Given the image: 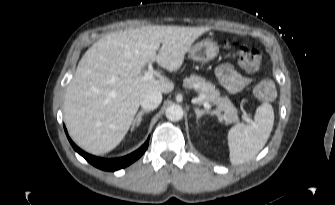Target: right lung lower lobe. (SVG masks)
Returning a JSON list of instances; mask_svg holds the SVG:
<instances>
[{"label":"right lung lower lobe","instance_id":"obj_1","mask_svg":"<svg viewBox=\"0 0 335 205\" xmlns=\"http://www.w3.org/2000/svg\"><path fill=\"white\" fill-rule=\"evenodd\" d=\"M64 129L68 137V140L70 141L74 150L78 152L81 156H83L89 163H91L95 167L102 169V170L115 171V170L124 168L130 165L131 163H133L134 161H136L138 158H140L148 147V140H147L138 150H136L135 152L127 156L116 158V159L98 158L90 154H87L84 151H82L80 148H78L68 136L65 126H64Z\"/></svg>","mask_w":335,"mask_h":205}]
</instances>
